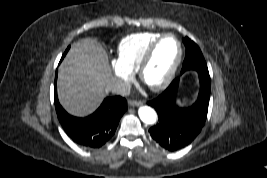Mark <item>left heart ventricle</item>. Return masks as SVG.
Here are the masks:
<instances>
[{
    "mask_svg": "<svg viewBox=\"0 0 267 178\" xmlns=\"http://www.w3.org/2000/svg\"><path fill=\"white\" fill-rule=\"evenodd\" d=\"M178 55V45L173 38H165L157 47L144 72L147 85L160 83L168 74Z\"/></svg>",
    "mask_w": 267,
    "mask_h": 178,
    "instance_id": "left-heart-ventricle-1",
    "label": "left heart ventricle"
}]
</instances>
